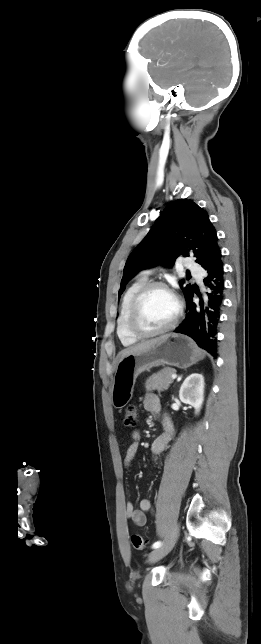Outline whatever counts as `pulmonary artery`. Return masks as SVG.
I'll return each instance as SVG.
<instances>
[{
  "instance_id": "e3ab8cb5",
  "label": "pulmonary artery",
  "mask_w": 261,
  "mask_h": 644,
  "mask_svg": "<svg viewBox=\"0 0 261 644\" xmlns=\"http://www.w3.org/2000/svg\"><path fill=\"white\" fill-rule=\"evenodd\" d=\"M186 267L193 272L200 280L202 278V271L200 267L191 260H187ZM146 275L150 274V271L144 272Z\"/></svg>"
}]
</instances>
